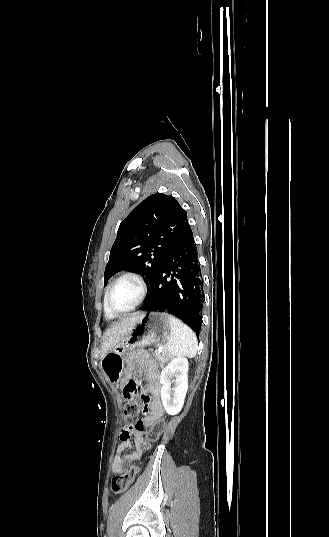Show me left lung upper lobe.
Wrapping results in <instances>:
<instances>
[{
	"instance_id": "left-lung-upper-lobe-1",
	"label": "left lung upper lobe",
	"mask_w": 329,
	"mask_h": 537,
	"mask_svg": "<svg viewBox=\"0 0 329 537\" xmlns=\"http://www.w3.org/2000/svg\"><path fill=\"white\" fill-rule=\"evenodd\" d=\"M190 229L186 211L173 196H149L121 222L105 268V284L126 269L144 274L151 285L162 261Z\"/></svg>"
}]
</instances>
